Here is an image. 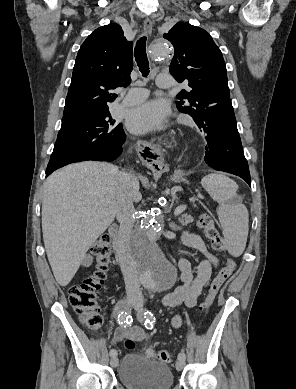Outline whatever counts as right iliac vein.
I'll return each mask as SVG.
<instances>
[{
  "instance_id": "right-iliac-vein-1",
  "label": "right iliac vein",
  "mask_w": 296,
  "mask_h": 389,
  "mask_svg": "<svg viewBox=\"0 0 296 389\" xmlns=\"http://www.w3.org/2000/svg\"><path fill=\"white\" fill-rule=\"evenodd\" d=\"M133 303H134V299L129 298L128 305L133 304ZM118 363H119V361H118V358L116 356L111 357L110 364L112 367H117Z\"/></svg>"
}]
</instances>
